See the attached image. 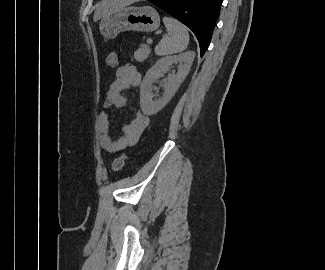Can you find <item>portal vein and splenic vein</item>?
<instances>
[{"label":"portal vein and splenic vein","mask_w":325,"mask_h":270,"mask_svg":"<svg viewBox=\"0 0 325 270\" xmlns=\"http://www.w3.org/2000/svg\"><path fill=\"white\" fill-rule=\"evenodd\" d=\"M148 42H152V39H149Z\"/></svg>","instance_id":"18ae733b"}]
</instances>
